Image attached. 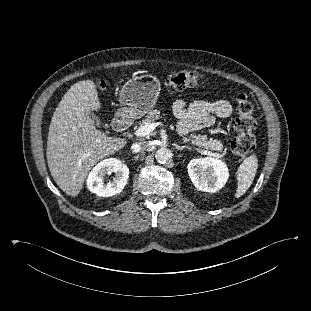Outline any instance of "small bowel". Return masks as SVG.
<instances>
[{
    "label": "small bowel",
    "mask_w": 311,
    "mask_h": 311,
    "mask_svg": "<svg viewBox=\"0 0 311 311\" xmlns=\"http://www.w3.org/2000/svg\"><path fill=\"white\" fill-rule=\"evenodd\" d=\"M232 112L233 107L226 100H197L188 106L183 100H177L173 105V113L179 119L177 127L181 134L210 127L214 124L215 117L227 118Z\"/></svg>",
    "instance_id": "c3829d8e"
}]
</instances>
